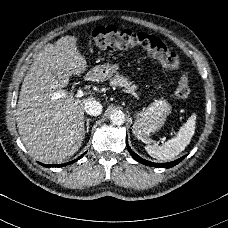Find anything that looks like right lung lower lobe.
Here are the masks:
<instances>
[{
    "label": "right lung lower lobe",
    "instance_id": "98d812e1",
    "mask_svg": "<svg viewBox=\"0 0 228 228\" xmlns=\"http://www.w3.org/2000/svg\"><path fill=\"white\" fill-rule=\"evenodd\" d=\"M84 154H85V153H84ZM84 154H82V155H81L80 157H78L77 159H75V160H73V161H71V162L65 163V164H52V165H46V164H42V163H39V164H41V165L44 166V167H62V166H66V165H68V164H71V163L76 162V161L79 160L81 157H83Z\"/></svg>",
    "mask_w": 228,
    "mask_h": 228
}]
</instances>
